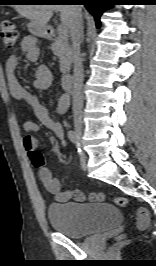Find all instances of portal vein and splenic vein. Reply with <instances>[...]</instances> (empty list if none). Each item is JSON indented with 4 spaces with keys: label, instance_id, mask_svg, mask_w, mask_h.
Here are the masks:
<instances>
[{
    "label": "portal vein and splenic vein",
    "instance_id": "obj_1",
    "mask_svg": "<svg viewBox=\"0 0 156 266\" xmlns=\"http://www.w3.org/2000/svg\"><path fill=\"white\" fill-rule=\"evenodd\" d=\"M58 34L61 37H65L67 35V29L63 24L58 26Z\"/></svg>",
    "mask_w": 156,
    "mask_h": 266
}]
</instances>
